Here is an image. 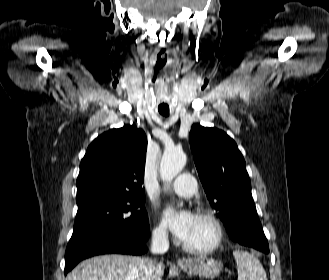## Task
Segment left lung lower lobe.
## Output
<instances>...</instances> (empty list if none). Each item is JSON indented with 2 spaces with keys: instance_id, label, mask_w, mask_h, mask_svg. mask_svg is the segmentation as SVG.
Masks as SVG:
<instances>
[{
  "instance_id": "left-lung-lower-lobe-1",
  "label": "left lung lower lobe",
  "mask_w": 329,
  "mask_h": 280,
  "mask_svg": "<svg viewBox=\"0 0 329 280\" xmlns=\"http://www.w3.org/2000/svg\"><path fill=\"white\" fill-rule=\"evenodd\" d=\"M227 231L231 239L239 244L269 253L268 242L258 219L255 204L250 205L244 221L230 226Z\"/></svg>"
}]
</instances>
